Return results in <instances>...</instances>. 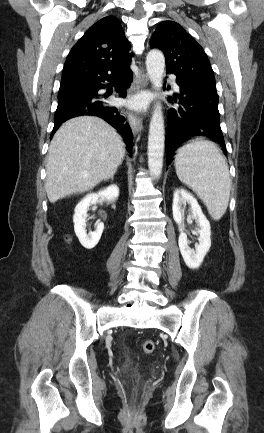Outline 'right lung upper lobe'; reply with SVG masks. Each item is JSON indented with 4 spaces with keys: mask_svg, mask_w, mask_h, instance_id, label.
Masks as SVG:
<instances>
[{
    "mask_svg": "<svg viewBox=\"0 0 264 433\" xmlns=\"http://www.w3.org/2000/svg\"><path fill=\"white\" fill-rule=\"evenodd\" d=\"M130 44L119 20L107 16L92 25L74 45L64 64L62 80L114 72L131 62Z\"/></svg>",
    "mask_w": 264,
    "mask_h": 433,
    "instance_id": "1",
    "label": "right lung upper lobe"
}]
</instances>
